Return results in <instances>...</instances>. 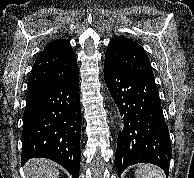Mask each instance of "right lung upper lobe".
Instances as JSON below:
<instances>
[{
    "label": "right lung upper lobe",
    "instance_id": "1",
    "mask_svg": "<svg viewBox=\"0 0 194 178\" xmlns=\"http://www.w3.org/2000/svg\"><path fill=\"white\" fill-rule=\"evenodd\" d=\"M77 73V60L70 42L54 40L38 54L28 80V90L66 81Z\"/></svg>",
    "mask_w": 194,
    "mask_h": 178
}]
</instances>
